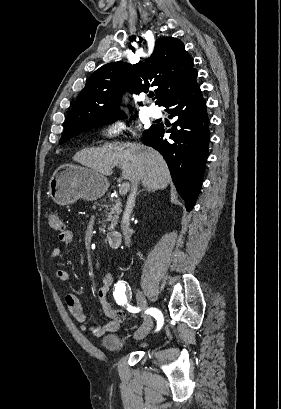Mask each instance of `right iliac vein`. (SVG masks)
I'll use <instances>...</instances> for the list:
<instances>
[{
    "instance_id": "right-iliac-vein-1",
    "label": "right iliac vein",
    "mask_w": 281,
    "mask_h": 409,
    "mask_svg": "<svg viewBox=\"0 0 281 409\" xmlns=\"http://www.w3.org/2000/svg\"><path fill=\"white\" fill-rule=\"evenodd\" d=\"M136 300H137L138 305L141 308L145 309L148 307L147 300L140 289L136 290ZM151 328H152V318L150 315H145L144 323L140 327V329L137 331V333L135 334V338L137 340L143 339L150 332Z\"/></svg>"
}]
</instances>
